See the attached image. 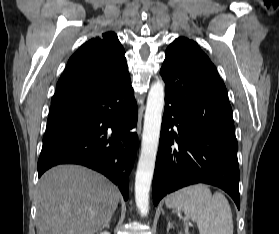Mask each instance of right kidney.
I'll return each mask as SVG.
<instances>
[{
    "label": "right kidney",
    "instance_id": "ca27d5eb",
    "mask_svg": "<svg viewBox=\"0 0 279 234\" xmlns=\"http://www.w3.org/2000/svg\"><path fill=\"white\" fill-rule=\"evenodd\" d=\"M99 234H110V232H108V231H103V232H100Z\"/></svg>",
    "mask_w": 279,
    "mask_h": 234
}]
</instances>
